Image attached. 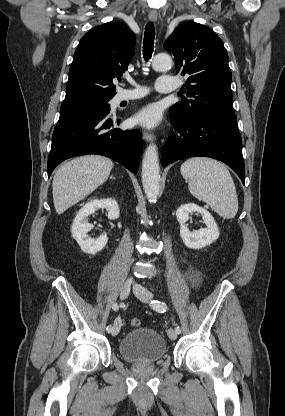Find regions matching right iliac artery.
<instances>
[{
	"label": "right iliac artery",
	"mask_w": 285,
	"mask_h": 416,
	"mask_svg": "<svg viewBox=\"0 0 285 416\" xmlns=\"http://www.w3.org/2000/svg\"><path fill=\"white\" fill-rule=\"evenodd\" d=\"M112 309L114 311H117L119 309V304H117V303L113 304ZM106 330H107L108 333H110L112 331V326L108 325Z\"/></svg>",
	"instance_id": "right-iliac-artery-1"
}]
</instances>
